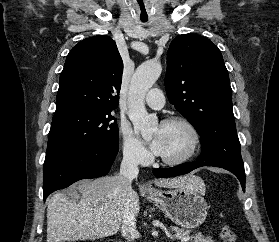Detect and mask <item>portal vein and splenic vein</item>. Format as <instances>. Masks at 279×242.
I'll list each match as a JSON object with an SVG mask.
<instances>
[{"instance_id":"18ae733b","label":"portal vein and splenic vein","mask_w":279,"mask_h":242,"mask_svg":"<svg viewBox=\"0 0 279 242\" xmlns=\"http://www.w3.org/2000/svg\"><path fill=\"white\" fill-rule=\"evenodd\" d=\"M188 240H190V237L188 236V237H183L182 239H181V242H186V241H188Z\"/></svg>"}]
</instances>
